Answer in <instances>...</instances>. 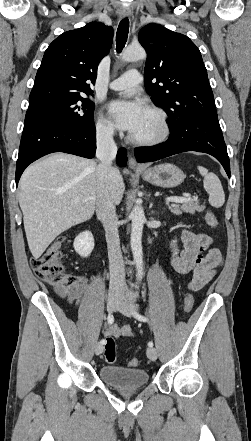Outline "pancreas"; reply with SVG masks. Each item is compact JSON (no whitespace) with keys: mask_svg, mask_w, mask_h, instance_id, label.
I'll list each match as a JSON object with an SVG mask.
<instances>
[{"mask_svg":"<svg viewBox=\"0 0 251 441\" xmlns=\"http://www.w3.org/2000/svg\"><path fill=\"white\" fill-rule=\"evenodd\" d=\"M204 206L200 205L198 201L191 200L183 202L182 205H171L169 209L175 215H181L183 212L194 214L195 211L202 212L204 210Z\"/></svg>","mask_w":251,"mask_h":441,"instance_id":"cf45deb5","label":"pancreas"}]
</instances>
